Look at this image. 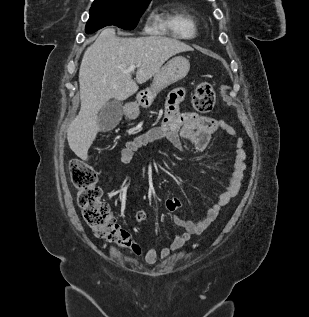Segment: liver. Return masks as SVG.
Segmentation results:
<instances>
[{
  "label": "liver",
  "mask_w": 309,
  "mask_h": 317,
  "mask_svg": "<svg viewBox=\"0 0 309 317\" xmlns=\"http://www.w3.org/2000/svg\"><path fill=\"white\" fill-rule=\"evenodd\" d=\"M193 49L173 38L146 36L120 38L104 29L85 51L79 70L81 108L67 131L70 149L82 160L99 128L98 115L110 99L123 101L137 92L138 84L156 75L172 56ZM137 67L136 81L129 67Z\"/></svg>",
  "instance_id": "1"
}]
</instances>
